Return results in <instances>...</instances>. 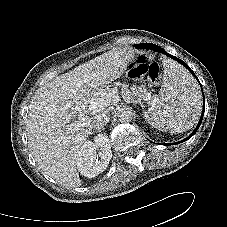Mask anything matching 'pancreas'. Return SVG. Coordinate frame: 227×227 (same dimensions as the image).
Returning <instances> with one entry per match:
<instances>
[{
	"label": "pancreas",
	"instance_id": "cf45deb5",
	"mask_svg": "<svg viewBox=\"0 0 227 227\" xmlns=\"http://www.w3.org/2000/svg\"><path fill=\"white\" fill-rule=\"evenodd\" d=\"M122 92L129 95L130 101L132 102H137V100L145 99L148 94L143 87L136 85H133L132 87H130V89H128V86L125 85L122 89Z\"/></svg>",
	"mask_w": 227,
	"mask_h": 227
}]
</instances>
